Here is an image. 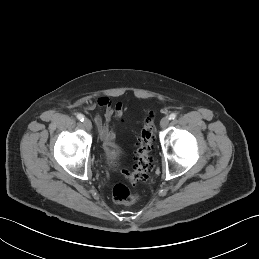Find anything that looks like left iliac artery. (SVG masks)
Wrapping results in <instances>:
<instances>
[{
	"label": "left iliac artery",
	"instance_id": "1",
	"mask_svg": "<svg viewBox=\"0 0 259 259\" xmlns=\"http://www.w3.org/2000/svg\"><path fill=\"white\" fill-rule=\"evenodd\" d=\"M176 114L175 113H171L170 115H169V119L170 120H174L175 118H176Z\"/></svg>",
	"mask_w": 259,
	"mask_h": 259
}]
</instances>
